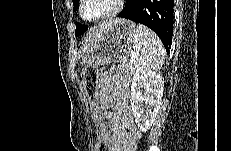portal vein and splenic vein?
<instances>
[{"label":"portal vein and splenic vein","instance_id":"18ae733b","mask_svg":"<svg viewBox=\"0 0 231 151\" xmlns=\"http://www.w3.org/2000/svg\"><path fill=\"white\" fill-rule=\"evenodd\" d=\"M135 53H131V56H130V61H133L135 59Z\"/></svg>","mask_w":231,"mask_h":151}]
</instances>
